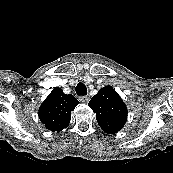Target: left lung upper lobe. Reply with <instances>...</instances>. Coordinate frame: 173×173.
Instances as JSON below:
<instances>
[{
    "instance_id": "obj_1",
    "label": "left lung upper lobe",
    "mask_w": 173,
    "mask_h": 173,
    "mask_svg": "<svg viewBox=\"0 0 173 173\" xmlns=\"http://www.w3.org/2000/svg\"><path fill=\"white\" fill-rule=\"evenodd\" d=\"M88 105L96 113L100 127L108 134L121 130L127 120L126 105L111 86L100 89Z\"/></svg>"
}]
</instances>
